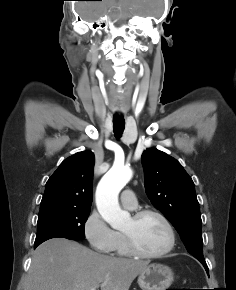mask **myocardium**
Returning <instances> with one entry per match:
<instances>
[{"mask_svg":"<svg viewBox=\"0 0 236 290\" xmlns=\"http://www.w3.org/2000/svg\"><path fill=\"white\" fill-rule=\"evenodd\" d=\"M148 215H153L159 218L162 221V223L165 225L168 231L169 241H168L167 246L163 250L156 253H145L137 247L131 235L124 232L122 233V235H123L125 245L130 255L137 258H141V259H158V258L166 256L174 249L175 244H176V234L170 220L159 210L152 209V208L141 209V210L136 211L132 215V218L135 221H138Z\"/></svg>","mask_w":236,"mask_h":290,"instance_id":"f54148a6","label":"myocardium"}]
</instances>
